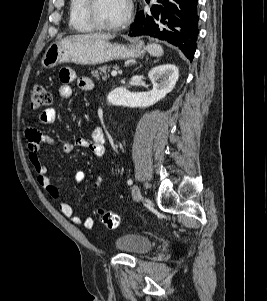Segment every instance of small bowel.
<instances>
[{
	"label": "small bowel",
	"instance_id": "1",
	"mask_svg": "<svg viewBox=\"0 0 267 301\" xmlns=\"http://www.w3.org/2000/svg\"><path fill=\"white\" fill-rule=\"evenodd\" d=\"M60 80L62 84L58 89V93L60 98L63 100L69 99L72 96V88L70 86V83L72 82H76L77 87L82 91L88 92L94 88V83L90 78L77 76L76 73L69 68L61 70ZM55 118V110L53 108H47L40 113L38 123L41 126L51 125L55 121ZM25 136L27 140L29 160L37 175V182L51 197L58 198L59 190L50 180L47 174V168L40 155V147L42 144L46 143L55 145L56 141L43 134L39 128L32 126L25 129ZM60 147L64 153H71L75 148H87L94 155L102 157L106 152V135L103 128L96 127L91 131L90 139L77 137L72 142H63ZM84 178L85 173L83 171H78L74 176V181L75 183L80 184ZM59 210L65 217L70 218V220L76 225H83L86 229H91L94 225L93 218L88 217L82 220L79 216L75 215L73 206L68 202H60Z\"/></svg>",
	"mask_w": 267,
	"mask_h": 301
}]
</instances>
